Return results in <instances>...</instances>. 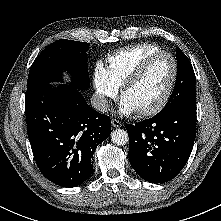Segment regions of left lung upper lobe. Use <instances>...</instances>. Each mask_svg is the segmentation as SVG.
Instances as JSON below:
<instances>
[{"label": "left lung upper lobe", "instance_id": "left-lung-upper-lobe-1", "mask_svg": "<svg viewBox=\"0 0 221 221\" xmlns=\"http://www.w3.org/2000/svg\"><path fill=\"white\" fill-rule=\"evenodd\" d=\"M176 57V83L169 101L167 102L165 107L158 113V115L165 114L182 104H196V81L192 64L180 48L176 49Z\"/></svg>", "mask_w": 221, "mask_h": 221}]
</instances>
